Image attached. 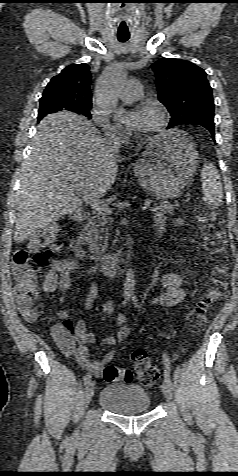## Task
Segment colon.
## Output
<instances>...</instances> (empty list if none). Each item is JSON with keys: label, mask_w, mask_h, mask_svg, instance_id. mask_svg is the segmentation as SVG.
Returning a JSON list of instances; mask_svg holds the SVG:
<instances>
[{"label": "colon", "mask_w": 238, "mask_h": 476, "mask_svg": "<svg viewBox=\"0 0 238 476\" xmlns=\"http://www.w3.org/2000/svg\"><path fill=\"white\" fill-rule=\"evenodd\" d=\"M198 221L204 247L214 261L215 267L211 272L209 288L187 316V327L195 333L203 330L208 311L224 297L228 288L224 264L227 256L224 221L219 214L207 209L199 212ZM60 249L58 228L48 226L32 239L28 249L18 250L13 256L15 294L20 311L29 321L37 318L34 299L37 294L38 273ZM131 359L138 381L145 386L153 385L159 377V371L151 363L146 351L135 350ZM103 377L107 382L129 383L133 379V373L128 368L109 365L104 368Z\"/></svg>", "instance_id": "obj_1"}]
</instances>
